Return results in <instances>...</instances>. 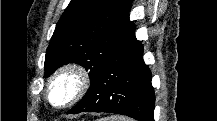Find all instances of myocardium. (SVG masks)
<instances>
[{"mask_svg":"<svg viewBox=\"0 0 217 121\" xmlns=\"http://www.w3.org/2000/svg\"><path fill=\"white\" fill-rule=\"evenodd\" d=\"M68 79L73 82L74 87L69 97L62 103L53 100V92L56 85ZM92 84V76L89 70L77 63L68 64L59 68L48 80L46 87V98L48 103L57 110H63L80 100L89 90Z\"/></svg>","mask_w":217,"mask_h":121,"instance_id":"myocardium-1","label":"myocardium"}]
</instances>
